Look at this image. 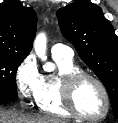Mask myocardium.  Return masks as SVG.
I'll return each mask as SVG.
<instances>
[{
  "instance_id": "1",
  "label": "myocardium",
  "mask_w": 118,
  "mask_h": 123,
  "mask_svg": "<svg viewBox=\"0 0 118 123\" xmlns=\"http://www.w3.org/2000/svg\"><path fill=\"white\" fill-rule=\"evenodd\" d=\"M84 79L92 80L97 84V86L102 91V94L105 99V111L100 116H96V117L86 116L79 111V109L75 104L74 101L75 88L77 84ZM59 84H60V94H61V100L63 106L67 111L71 113V115L84 121L95 122L105 119L109 114L111 108L110 95L105 84L97 76L81 70L72 71L62 75L59 80Z\"/></svg>"
}]
</instances>
